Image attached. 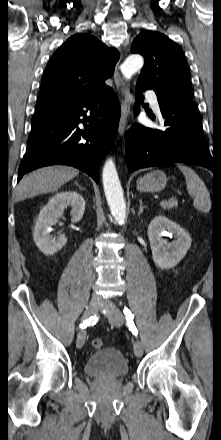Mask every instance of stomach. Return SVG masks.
Instances as JSON below:
<instances>
[{
  "instance_id": "0dacf381",
  "label": "stomach",
  "mask_w": 221,
  "mask_h": 440,
  "mask_svg": "<svg viewBox=\"0 0 221 440\" xmlns=\"http://www.w3.org/2000/svg\"><path fill=\"white\" fill-rule=\"evenodd\" d=\"M166 184V174L161 170H154L137 180V189L143 192H159Z\"/></svg>"
}]
</instances>
